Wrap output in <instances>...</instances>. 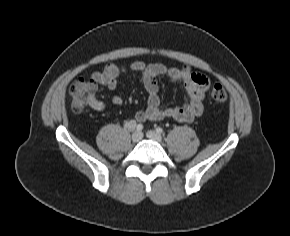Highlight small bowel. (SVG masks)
<instances>
[{
    "label": "small bowel",
    "instance_id": "1",
    "mask_svg": "<svg viewBox=\"0 0 290 236\" xmlns=\"http://www.w3.org/2000/svg\"><path fill=\"white\" fill-rule=\"evenodd\" d=\"M131 71L141 76L148 94L147 106L135 115L137 122L147 120H163L171 118L181 122H191L199 117L204 108L205 94L209 87V79L199 73L191 71L188 67L167 66L163 63H146L136 61L128 68L114 63L107 64L102 70L94 71L91 79L99 85L115 90L118 77L125 71ZM167 77L171 82L183 86L187 95L186 102L180 107L162 108L159 97L158 77ZM111 101L114 105H121L123 99L120 95H113ZM90 106L97 111L105 109V103L95 98Z\"/></svg>",
    "mask_w": 290,
    "mask_h": 236
}]
</instances>
